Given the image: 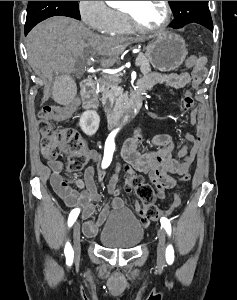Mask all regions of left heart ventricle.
<instances>
[{
    "instance_id": "1",
    "label": "left heart ventricle",
    "mask_w": 237,
    "mask_h": 300,
    "mask_svg": "<svg viewBox=\"0 0 237 300\" xmlns=\"http://www.w3.org/2000/svg\"><path fill=\"white\" fill-rule=\"evenodd\" d=\"M124 8L131 10L136 20L147 27H157L165 18L163 1H122Z\"/></svg>"
}]
</instances>
